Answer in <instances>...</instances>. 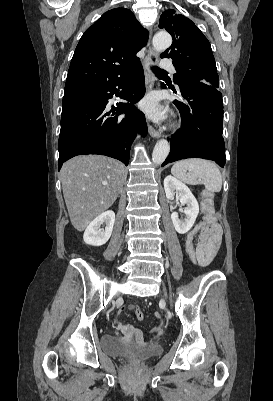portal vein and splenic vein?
<instances>
[{
	"label": "portal vein and splenic vein",
	"instance_id": "obj_1",
	"mask_svg": "<svg viewBox=\"0 0 273 401\" xmlns=\"http://www.w3.org/2000/svg\"><path fill=\"white\" fill-rule=\"evenodd\" d=\"M199 180H200V178H199ZM102 184H105V182H102Z\"/></svg>",
	"mask_w": 273,
	"mask_h": 401
}]
</instances>
